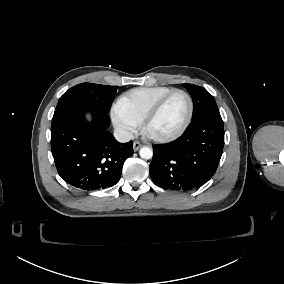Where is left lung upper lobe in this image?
<instances>
[{
	"label": "left lung upper lobe",
	"instance_id": "5c2ea615",
	"mask_svg": "<svg viewBox=\"0 0 284 284\" xmlns=\"http://www.w3.org/2000/svg\"><path fill=\"white\" fill-rule=\"evenodd\" d=\"M191 94L194 104L192 120L210 113H219L214 97L203 87L193 84H183Z\"/></svg>",
	"mask_w": 284,
	"mask_h": 284
}]
</instances>
